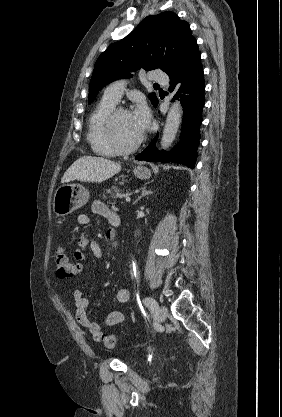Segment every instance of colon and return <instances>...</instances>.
Segmentation results:
<instances>
[{
  "mask_svg": "<svg viewBox=\"0 0 282 417\" xmlns=\"http://www.w3.org/2000/svg\"><path fill=\"white\" fill-rule=\"evenodd\" d=\"M56 272L60 278H69L76 273L81 266H74V262L70 260L67 254L60 250L57 252L56 258ZM117 337L116 335H107L106 340L104 341V346L106 348H111L113 344H116Z\"/></svg>",
  "mask_w": 282,
  "mask_h": 417,
  "instance_id": "obj_1",
  "label": "colon"
}]
</instances>
